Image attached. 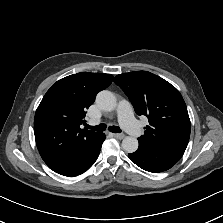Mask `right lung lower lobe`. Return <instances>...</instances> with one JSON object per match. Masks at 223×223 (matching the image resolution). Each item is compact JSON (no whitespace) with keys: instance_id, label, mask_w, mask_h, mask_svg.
I'll return each instance as SVG.
<instances>
[{"instance_id":"right-lung-lower-lobe-1","label":"right lung lower lobe","mask_w":223,"mask_h":223,"mask_svg":"<svg viewBox=\"0 0 223 223\" xmlns=\"http://www.w3.org/2000/svg\"><path fill=\"white\" fill-rule=\"evenodd\" d=\"M104 140H105V135L101 133L93 151L88 156V158L76 170L64 176H77L88 170L96 161Z\"/></svg>"}]
</instances>
